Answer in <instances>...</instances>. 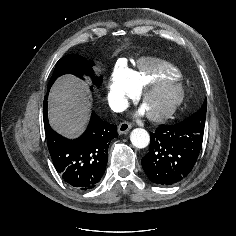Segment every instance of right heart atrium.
<instances>
[{"instance_id":"1","label":"right heart atrium","mask_w":236,"mask_h":236,"mask_svg":"<svg viewBox=\"0 0 236 236\" xmlns=\"http://www.w3.org/2000/svg\"><path fill=\"white\" fill-rule=\"evenodd\" d=\"M135 93L130 83V68L124 62H119L108 79L106 95L109 104L114 109H120Z\"/></svg>"}]
</instances>
